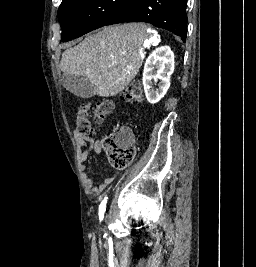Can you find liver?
Returning <instances> with one entry per match:
<instances>
[{
	"label": "liver",
	"instance_id": "liver-1",
	"mask_svg": "<svg viewBox=\"0 0 256 267\" xmlns=\"http://www.w3.org/2000/svg\"><path fill=\"white\" fill-rule=\"evenodd\" d=\"M146 24L104 26L62 54L60 70L93 84L94 94L117 96L138 74L147 38Z\"/></svg>",
	"mask_w": 256,
	"mask_h": 267
}]
</instances>
